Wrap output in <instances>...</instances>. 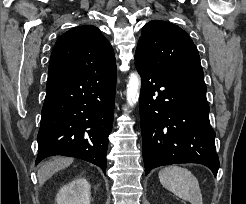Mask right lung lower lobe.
Masks as SVG:
<instances>
[{
    "mask_svg": "<svg viewBox=\"0 0 246 204\" xmlns=\"http://www.w3.org/2000/svg\"><path fill=\"white\" fill-rule=\"evenodd\" d=\"M115 89L116 69L48 80L35 163L65 155L91 162L105 173Z\"/></svg>",
    "mask_w": 246,
    "mask_h": 204,
    "instance_id": "98d812e1",
    "label": "right lung lower lobe"
}]
</instances>
